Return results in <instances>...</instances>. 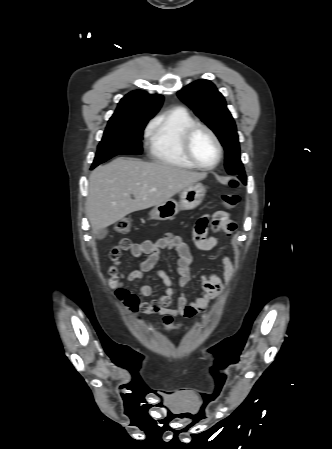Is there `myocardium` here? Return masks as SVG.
<instances>
[{
  "instance_id": "1",
  "label": "myocardium",
  "mask_w": 332,
  "mask_h": 449,
  "mask_svg": "<svg viewBox=\"0 0 332 449\" xmlns=\"http://www.w3.org/2000/svg\"><path fill=\"white\" fill-rule=\"evenodd\" d=\"M198 130H204L205 132H207L209 134V136L212 138V140L214 141L216 148H217V158L214 161V163H212L211 165H203L201 163H199L196 158L194 157L193 153H192V149H191V140L193 135L195 134L196 131ZM181 147H182V151L183 154L185 155V157L187 158V160L196 168L201 169V170H212L214 169L216 166H218V164L221 162L222 156H223V147L222 144L218 138V136L216 135V133L207 125L199 123V122H195L194 124H192L191 126H189L183 133L182 135V140H181Z\"/></svg>"
}]
</instances>
